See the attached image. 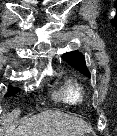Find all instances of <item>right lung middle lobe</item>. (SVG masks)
Segmentation results:
<instances>
[{"label":"right lung middle lobe","mask_w":117,"mask_h":136,"mask_svg":"<svg viewBox=\"0 0 117 136\" xmlns=\"http://www.w3.org/2000/svg\"><path fill=\"white\" fill-rule=\"evenodd\" d=\"M19 90V88H13V87H9L8 89V93L5 95L7 97H9L10 95H14L15 93H17Z\"/></svg>","instance_id":"obj_1"}]
</instances>
